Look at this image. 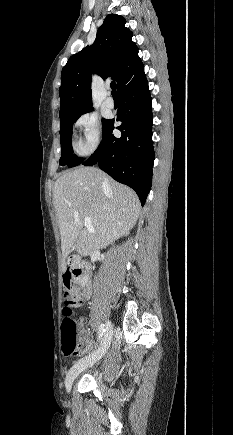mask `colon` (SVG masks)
<instances>
[{
    "mask_svg": "<svg viewBox=\"0 0 233 435\" xmlns=\"http://www.w3.org/2000/svg\"><path fill=\"white\" fill-rule=\"evenodd\" d=\"M78 282V276L74 275L70 269H67L63 275V288L70 289ZM65 307L62 312L61 322V348L65 355H79L86 351L78 343V324L74 319L75 302L69 295L64 297ZM81 304V303H79Z\"/></svg>",
    "mask_w": 233,
    "mask_h": 435,
    "instance_id": "obj_1",
    "label": "colon"
}]
</instances>
